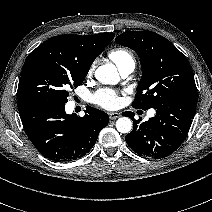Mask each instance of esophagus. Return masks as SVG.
<instances>
[{"instance_id":"1","label":"esophagus","mask_w":212,"mask_h":212,"mask_svg":"<svg viewBox=\"0 0 212 212\" xmlns=\"http://www.w3.org/2000/svg\"><path fill=\"white\" fill-rule=\"evenodd\" d=\"M109 117L112 120H116L118 117H120V114L117 112H112V113H109Z\"/></svg>"}]
</instances>
